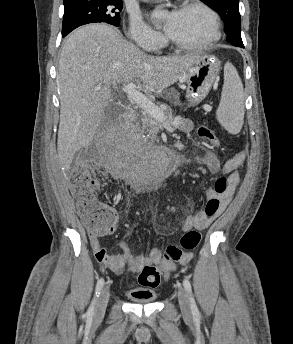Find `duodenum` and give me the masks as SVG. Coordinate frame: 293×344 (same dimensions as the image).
<instances>
[{
    "instance_id": "1",
    "label": "duodenum",
    "mask_w": 293,
    "mask_h": 344,
    "mask_svg": "<svg viewBox=\"0 0 293 344\" xmlns=\"http://www.w3.org/2000/svg\"><path fill=\"white\" fill-rule=\"evenodd\" d=\"M132 119H133V113L130 111H127L125 113L124 120L126 122H129ZM170 160L173 167H180L188 162L187 156H185L184 154L176 153V152L171 153Z\"/></svg>"
}]
</instances>
